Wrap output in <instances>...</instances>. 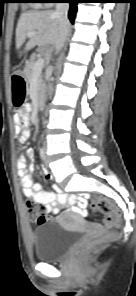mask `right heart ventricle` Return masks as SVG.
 <instances>
[{
	"label": "right heart ventricle",
	"instance_id": "e07e8e85",
	"mask_svg": "<svg viewBox=\"0 0 136 296\" xmlns=\"http://www.w3.org/2000/svg\"><path fill=\"white\" fill-rule=\"evenodd\" d=\"M35 6H36V7H41V6H42V4H35Z\"/></svg>",
	"mask_w": 136,
	"mask_h": 296
}]
</instances>
